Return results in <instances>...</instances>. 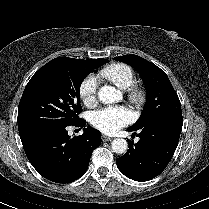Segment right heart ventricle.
<instances>
[{
  "label": "right heart ventricle",
  "mask_w": 209,
  "mask_h": 209,
  "mask_svg": "<svg viewBox=\"0 0 209 209\" xmlns=\"http://www.w3.org/2000/svg\"><path fill=\"white\" fill-rule=\"evenodd\" d=\"M102 75L122 90H129L135 83L133 69L123 63L110 65L103 70Z\"/></svg>",
  "instance_id": "obj_1"
}]
</instances>
